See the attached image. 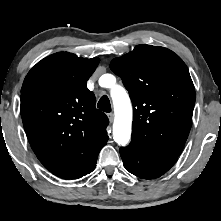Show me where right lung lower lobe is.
Listing matches in <instances>:
<instances>
[{
  "label": "right lung lower lobe",
  "mask_w": 221,
  "mask_h": 221,
  "mask_svg": "<svg viewBox=\"0 0 221 221\" xmlns=\"http://www.w3.org/2000/svg\"><path fill=\"white\" fill-rule=\"evenodd\" d=\"M97 157H95L93 159V161L89 164V166L77 178H81L84 175H87V174H89L90 172H92L94 170V168L96 166Z\"/></svg>",
  "instance_id": "98d812e1"
}]
</instances>
